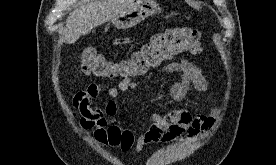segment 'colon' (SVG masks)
Returning <instances> with one entry per match:
<instances>
[{"label": "colon", "mask_w": 276, "mask_h": 165, "mask_svg": "<svg viewBox=\"0 0 276 165\" xmlns=\"http://www.w3.org/2000/svg\"><path fill=\"white\" fill-rule=\"evenodd\" d=\"M201 51V33L191 27L170 28L153 35L127 61L114 62L94 49L81 54L83 73L103 78H129L149 74L163 62L182 52Z\"/></svg>", "instance_id": "1"}]
</instances>
